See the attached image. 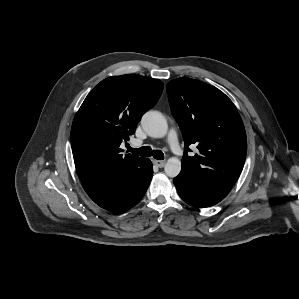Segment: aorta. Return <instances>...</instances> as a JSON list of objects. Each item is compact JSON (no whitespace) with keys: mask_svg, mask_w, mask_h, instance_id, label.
Wrapping results in <instances>:
<instances>
[{"mask_svg":"<svg viewBox=\"0 0 299 299\" xmlns=\"http://www.w3.org/2000/svg\"><path fill=\"white\" fill-rule=\"evenodd\" d=\"M143 130L153 138H162L167 134L168 124L165 117L158 111H148L141 119ZM164 171L167 176L174 178L181 171V161L177 157L167 160Z\"/></svg>","mask_w":299,"mask_h":299,"instance_id":"762f6f07","label":"aorta"}]
</instances>
